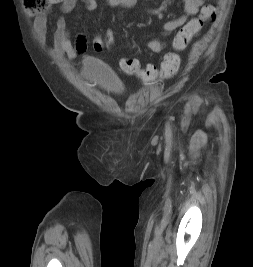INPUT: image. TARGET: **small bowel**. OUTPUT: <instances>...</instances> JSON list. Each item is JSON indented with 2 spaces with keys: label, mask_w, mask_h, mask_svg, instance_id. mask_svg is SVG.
Instances as JSON below:
<instances>
[{
  "label": "small bowel",
  "mask_w": 253,
  "mask_h": 267,
  "mask_svg": "<svg viewBox=\"0 0 253 267\" xmlns=\"http://www.w3.org/2000/svg\"><path fill=\"white\" fill-rule=\"evenodd\" d=\"M78 0H63L61 11L63 14H69L75 8ZM87 11L91 12L97 9V0H81ZM105 3L114 8L130 9L133 8L138 0H104ZM184 8V14L168 20L162 24L161 30L164 34H169L181 28L190 17L196 15L200 8L204 5L205 0H181ZM47 17L44 13H40L35 19V31L40 40L44 42V34L46 30ZM108 30L107 33H111ZM148 48L154 53H161L166 48V43L156 38H152L147 43ZM87 50V41L84 35L77 36L75 42L71 41L70 32L64 17H60L56 21L53 46L50 48V54L55 58L66 57L73 60L78 54Z\"/></svg>",
  "instance_id": "small-bowel-1"
}]
</instances>
